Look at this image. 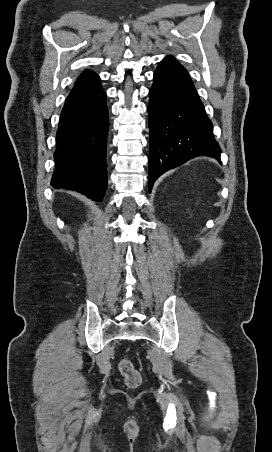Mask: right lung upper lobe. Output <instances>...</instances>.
Masks as SVG:
<instances>
[{
	"label": "right lung upper lobe",
	"mask_w": 272,
	"mask_h": 452,
	"mask_svg": "<svg viewBox=\"0 0 272 452\" xmlns=\"http://www.w3.org/2000/svg\"><path fill=\"white\" fill-rule=\"evenodd\" d=\"M97 75L90 70H85L82 75L77 79L76 83H83L92 80Z\"/></svg>",
	"instance_id": "obj_1"
}]
</instances>
